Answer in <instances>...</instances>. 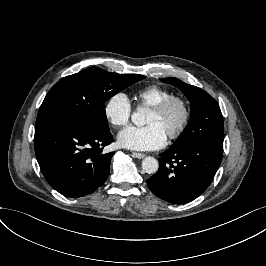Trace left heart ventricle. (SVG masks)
Segmentation results:
<instances>
[{
    "mask_svg": "<svg viewBox=\"0 0 266 266\" xmlns=\"http://www.w3.org/2000/svg\"><path fill=\"white\" fill-rule=\"evenodd\" d=\"M183 118V109L179 104L173 105L165 114H159L153 110L148 113L146 123L159 125L167 134L175 129Z\"/></svg>",
    "mask_w": 266,
    "mask_h": 266,
    "instance_id": "1",
    "label": "left heart ventricle"
}]
</instances>
